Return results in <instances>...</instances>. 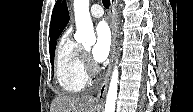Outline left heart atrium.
Listing matches in <instances>:
<instances>
[{"label":"left heart atrium","mask_w":193,"mask_h":112,"mask_svg":"<svg viewBox=\"0 0 193 112\" xmlns=\"http://www.w3.org/2000/svg\"><path fill=\"white\" fill-rule=\"evenodd\" d=\"M111 33L106 23L101 22L96 28V42L92 49V57L96 63L104 62L110 52Z\"/></svg>","instance_id":"obj_1"}]
</instances>
